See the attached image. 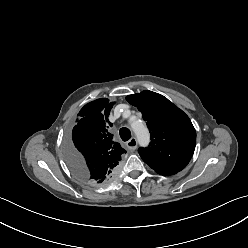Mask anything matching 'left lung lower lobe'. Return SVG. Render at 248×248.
Returning <instances> with one entry per match:
<instances>
[{"mask_svg":"<svg viewBox=\"0 0 248 248\" xmlns=\"http://www.w3.org/2000/svg\"><path fill=\"white\" fill-rule=\"evenodd\" d=\"M173 174H175V173H173ZM162 175L169 176V175H172V174H162Z\"/></svg>","mask_w":248,"mask_h":248,"instance_id":"obj_1","label":"left lung lower lobe"}]
</instances>
